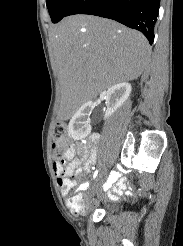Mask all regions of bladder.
Instances as JSON below:
<instances>
[{"instance_id":"1","label":"bladder","mask_w":183,"mask_h":246,"mask_svg":"<svg viewBox=\"0 0 183 246\" xmlns=\"http://www.w3.org/2000/svg\"><path fill=\"white\" fill-rule=\"evenodd\" d=\"M107 211H111V208H110V207H108V208H107Z\"/></svg>"}]
</instances>
